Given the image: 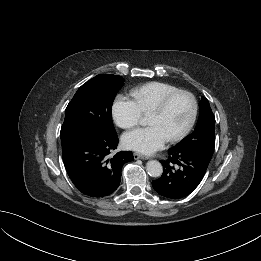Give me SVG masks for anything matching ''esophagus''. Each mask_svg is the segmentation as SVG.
<instances>
[{"mask_svg": "<svg viewBox=\"0 0 261 261\" xmlns=\"http://www.w3.org/2000/svg\"><path fill=\"white\" fill-rule=\"evenodd\" d=\"M133 156H134L135 160H137V159L147 160L148 159L147 156L141 155L139 153H134Z\"/></svg>", "mask_w": 261, "mask_h": 261, "instance_id": "34e87169", "label": "esophagus"}]
</instances>
